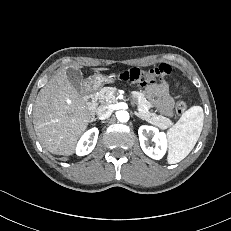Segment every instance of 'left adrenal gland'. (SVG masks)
Wrapping results in <instances>:
<instances>
[{
  "label": "left adrenal gland",
  "instance_id": "a2214340",
  "mask_svg": "<svg viewBox=\"0 0 231 231\" xmlns=\"http://www.w3.org/2000/svg\"><path fill=\"white\" fill-rule=\"evenodd\" d=\"M134 114H135L137 117H139L140 119L144 120V119L140 116V114H139V113L134 112Z\"/></svg>",
  "mask_w": 231,
  "mask_h": 231
}]
</instances>
